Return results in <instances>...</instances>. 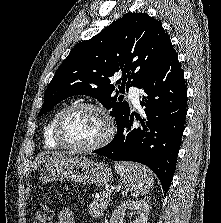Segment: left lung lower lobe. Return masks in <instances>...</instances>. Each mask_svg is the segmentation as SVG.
Wrapping results in <instances>:
<instances>
[{
    "mask_svg": "<svg viewBox=\"0 0 221 223\" xmlns=\"http://www.w3.org/2000/svg\"><path fill=\"white\" fill-rule=\"evenodd\" d=\"M146 118L133 125L130 111L117 126V134L105 147L93 151L113 161H133L148 166L159 178L164 192L175 172L187 114V90L177 53L170 44L154 75L141 87Z\"/></svg>",
    "mask_w": 221,
    "mask_h": 223,
    "instance_id": "1",
    "label": "left lung lower lobe"
}]
</instances>
